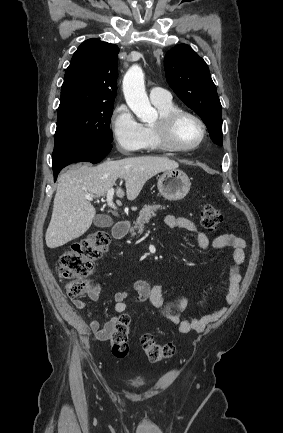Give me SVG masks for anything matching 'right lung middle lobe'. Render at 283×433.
<instances>
[{
	"mask_svg": "<svg viewBox=\"0 0 283 433\" xmlns=\"http://www.w3.org/2000/svg\"><path fill=\"white\" fill-rule=\"evenodd\" d=\"M112 113L113 102L77 104L58 110L55 142L73 140L99 146L111 144Z\"/></svg>",
	"mask_w": 283,
	"mask_h": 433,
	"instance_id": "obj_1",
	"label": "right lung middle lobe"
}]
</instances>
